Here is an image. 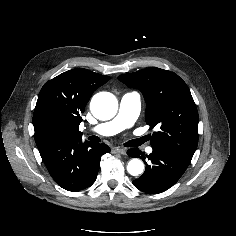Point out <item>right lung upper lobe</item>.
Wrapping results in <instances>:
<instances>
[{
	"mask_svg": "<svg viewBox=\"0 0 236 236\" xmlns=\"http://www.w3.org/2000/svg\"><path fill=\"white\" fill-rule=\"evenodd\" d=\"M109 79V76L77 68L46 82L33 114L37 147L58 139L82 137L80 114L92 93Z\"/></svg>",
	"mask_w": 236,
	"mask_h": 236,
	"instance_id": "cb5924a9",
	"label": "right lung upper lobe"
}]
</instances>
